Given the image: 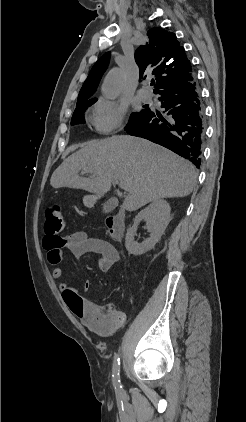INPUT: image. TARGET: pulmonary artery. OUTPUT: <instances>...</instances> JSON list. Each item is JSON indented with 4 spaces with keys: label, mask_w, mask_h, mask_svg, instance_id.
<instances>
[{
    "label": "pulmonary artery",
    "mask_w": 246,
    "mask_h": 422,
    "mask_svg": "<svg viewBox=\"0 0 246 422\" xmlns=\"http://www.w3.org/2000/svg\"><path fill=\"white\" fill-rule=\"evenodd\" d=\"M138 97L143 102H150L152 100V94L145 88L138 90Z\"/></svg>",
    "instance_id": "obj_1"
}]
</instances>
